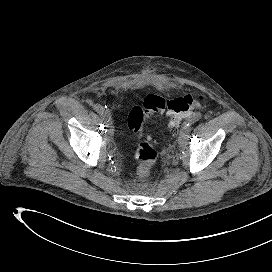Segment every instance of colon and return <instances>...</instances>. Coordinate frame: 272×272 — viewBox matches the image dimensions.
Masks as SVG:
<instances>
[{
    "label": "colon",
    "instance_id": "1",
    "mask_svg": "<svg viewBox=\"0 0 272 272\" xmlns=\"http://www.w3.org/2000/svg\"><path fill=\"white\" fill-rule=\"evenodd\" d=\"M205 102L203 96L184 93L174 98L158 95H148L142 104L135 105L128 115V127L135 133L139 144L134 158L137 162V172L140 176L149 175L152 166L158 158V149L153 144L147 132L149 119L156 113L166 112L169 124L173 130L180 125L181 120L189 117L194 108L201 107Z\"/></svg>",
    "mask_w": 272,
    "mask_h": 272
}]
</instances>
